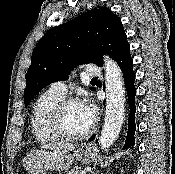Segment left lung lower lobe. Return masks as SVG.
I'll use <instances>...</instances> for the list:
<instances>
[{
    "instance_id": "left-lung-lower-lobe-1",
    "label": "left lung lower lobe",
    "mask_w": 175,
    "mask_h": 174,
    "mask_svg": "<svg viewBox=\"0 0 175 174\" xmlns=\"http://www.w3.org/2000/svg\"><path fill=\"white\" fill-rule=\"evenodd\" d=\"M118 65L120 66L122 72H123V77L125 81V87L127 90V96H128V103L130 106V114L128 118V132L126 136V141L124 144L123 149L133 147L135 144V139H134V134H135V111H136V106H135V95H136V89L134 86V81H135V74L133 71V61L130 55V45L128 44L118 55V57L115 60ZM95 138V135H93L90 138V141H93Z\"/></svg>"
}]
</instances>
